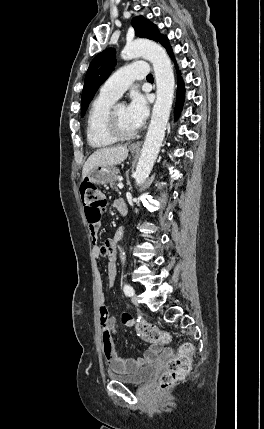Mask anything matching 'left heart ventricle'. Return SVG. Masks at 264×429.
<instances>
[{"label": "left heart ventricle", "mask_w": 264, "mask_h": 429, "mask_svg": "<svg viewBox=\"0 0 264 429\" xmlns=\"http://www.w3.org/2000/svg\"><path fill=\"white\" fill-rule=\"evenodd\" d=\"M116 113H117L119 124L123 129V131L127 133H131L137 130V128L133 125V123L130 121L128 117L126 106L118 105L116 109Z\"/></svg>", "instance_id": "b2bd125f"}]
</instances>
